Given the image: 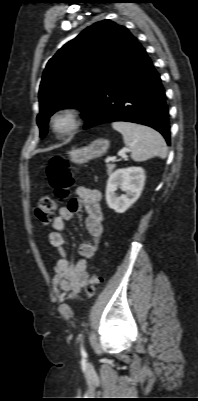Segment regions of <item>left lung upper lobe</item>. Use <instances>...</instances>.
<instances>
[{"label": "left lung upper lobe", "mask_w": 198, "mask_h": 401, "mask_svg": "<svg viewBox=\"0 0 198 401\" xmlns=\"http://www.w3.org/2000/svg\"><path fill=\"white\" fill-rule=\"evenodd\" d=\"M124 26L97 22L66 43L47 63L39 90L40 137L49 117L59 109L75 107L88 114L103 85L136 44Z\"/></svg>", "instance_id": "5c2ea615"}]
</instances>
